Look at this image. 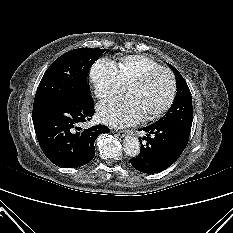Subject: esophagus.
Here are the masks:
<instances>
[{"label":"esophagus","instance_id":"34e87169","mask_svg":"<svg viewBox=\"0 0 233 233\" xmlns=\"http://www.w3.org/2000/svg\"><path fill=\"white\" fill-rule=\"evenodd\" d=\"M131 131H128V130H120L118 131V134L121 136V137H124L126 136L127 134H130Z\"/></svg>","mask_w":233,"mask_h":233}]
</instances>
